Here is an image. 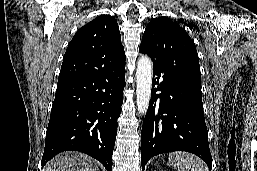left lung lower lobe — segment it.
Segmentation results:
<instances>
[{
	"instance_id": "left-lung-lower-lobe-1",
	"label": "left lung lower lobe",
	"mask_w": 257,
	"mask_h": 171,
	"mask_svg": "<svg viewBox=\"0 0 257 171\" xmlns=\"http://www.w3.org/2000/svg\"><path fill=\"white\" fill-rule=\"evenodd\" d=\"M173 151L191 152L211 170L201 81L172 64L153 62L151 100L141 136L142 170L151 157Z\"/></svg>"
}]
</instances>
